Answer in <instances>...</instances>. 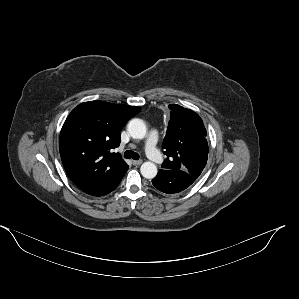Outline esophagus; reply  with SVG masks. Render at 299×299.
I'll use <instances>...</instances> for the list:
<instances>
[{
    "label": "esophagus",
    "mask_w": 299,
    "mask_h": 299,
    "mask_svg": "<svg viewBox=\"0 0 299 299\" xmlns=\"http://www.w3.org/2000/svg\"><path fill=\"white\" fill-rule=\"evenodd\" d=\"M132 164L135 166L140 165L142 164V160H132Z\"/></svg>",
    "instance_id": "obj_1"
}]
</instances>
